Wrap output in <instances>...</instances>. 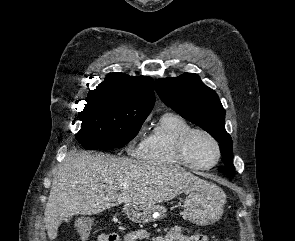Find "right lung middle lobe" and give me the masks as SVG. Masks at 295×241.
<instances>
[{
  "mask_svg": "<svg viewBox=\"0 0 295 241\" xmlns=\"http://www.w3.org/2000/svg\"><path fill=\"white\" fill-rule=\"evenodd\" d=\"M79 112L81 131L76 135L85 149L121 147L139 132L149 112L105 94H88Z\"/></svg>",
  "mask_w": 295,
  "mask_h": 241,
  "instance_id": "dd1d6c3e",
  "label": "right lung middle lobe"
}]
</instances>
